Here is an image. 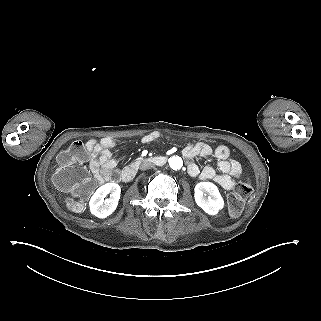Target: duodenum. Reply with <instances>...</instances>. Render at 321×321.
I'll return each mask as SVG.
<instances>
[{"label": "duodenum", "mask_w": 321, "mask_h": 321, "mask_svg": "<svg viewBox=\"0 0 321 321\" xmlns=\"http://www.w3.org/2000/svg\"><path fill=\"white\" fill-rule=\"evenodd\" d=\"M166 160L167 159L165 156H151V157L137 160V161L133 162L132 164L126 166L122 170L121 179L124 182L131 181L134 178V176L136 175L141 163H150V164H154L157 166H162L166 163Z\"/></svg>", "instance_id": "duodenum-1"}]
</instances>
